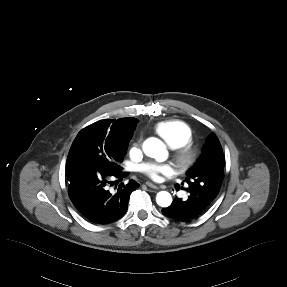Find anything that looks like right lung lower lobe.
<instances>
[{
  "label": "right lung lower lobe",
  "mask_w": 287,
  "mask_h": 287,
  "mask_svg": "<svg viewBox=\"0 0 287 287\" xmlns=\"http://www.w3.org/2000/svg\"><path fill=\"white\" fill-rule=\"evenodd\" d=\"M69 197L79 213L95 224L114 222L127 211L130 194L139 184L130 180L121 183L116 191L107 190L109 179L127 176L126 172L107 169L91 161H80L66 166Z\"/></svg>",
  "instance_id": "1"
}]
</instances>
